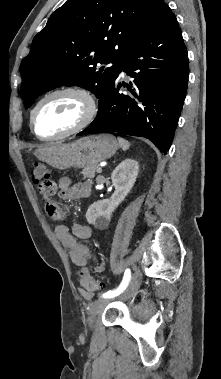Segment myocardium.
<instances>
[{"label":"myocardium","instance_id":"obj_1","mask_svg":"<svg viewBox=\"0 0 221 379\" xmlns=\"http://www.w3.org/2000/svg\"><path fill=\"white\" fill-rule=\"evenodd\" d=\"M61 94H72V95L80 97L85 103V113L83 117L81 118V120L72 128L57 135L48 136V137L40 136L36 132L35 127H34V119H35L36 112L47 99L56 95H61ZM96 114H97V104L93 95L88 90L82 87H78V86H64V87L56 88L47 92L36 102V104L31 109L30 114H29V127H30L31 133L37 139L42 140V141H54V140L66 138L70 135H73L75 133L82 131L89 124H91Z\"/></svg>","mask_w":221,"mask_h":379}]
</instances>
